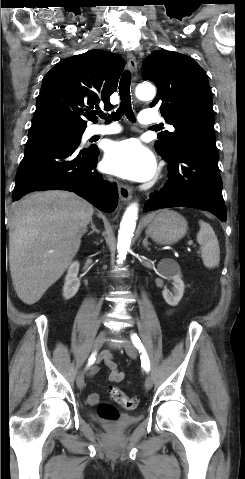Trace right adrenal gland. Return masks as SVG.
<instances>
[{
	"mask_svg": "<svg viewBox=\"0 0 245 479\" xmlns=\"http://www.w3.org/2000/svg\"><path fill=\"white\" fill-rule=\"evenodd\" d=\"M90 223H91V231L88 233V235H91V234H93L94 232H96L97 234H99L100 231L96 228V226H95V224H94V222H93L92 219H91Z\"/></svg>",
	"mask_w": 245,
	"mask_h": 479,
	"instance_id": "right-adrenal-gland-1",
	"label": "right adrenal gland"
}]
</instances>
